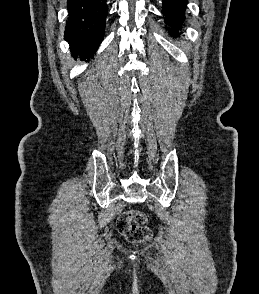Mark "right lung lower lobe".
<instances>
[{"label": "right lung lower lobe", "mask_w": 259, "mask_h": 294, "mask_svg": "<svg viewBox=\"0 0 259 294\" xmlns=\"http://www.w3.org/2000/svg\"><path fill=\"white\" fill-rule=\"evenodd\" d=\"M65 40L71 50L92 57L103 40L108 7L106 0H67Z\"/></svg>", "instance_id": "right-lung-lower-lobe-1"}]
</instances>
